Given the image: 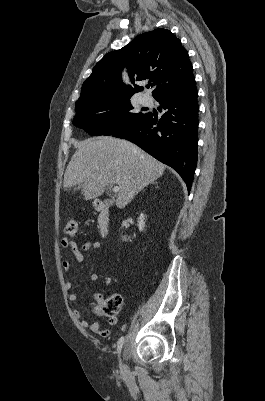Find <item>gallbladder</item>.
Wrapping results in <instances>:
<instances>
[{
	"label": "gallbladder",
	"mask_w": 265,
	"mask_h": 401,
	"mask_svg": "<svg viewBox=\"0 0 265 401\" xmlns=\"http://www.w3.org/2000/svg\"><path fill=\"white\" fill-rule=\"evenodd\" d=\"M104 203L105 205H112L113 201H111V198H105Z\"/></svg>",
	"instance_id": "bac80fb5"
}]
</instances>
